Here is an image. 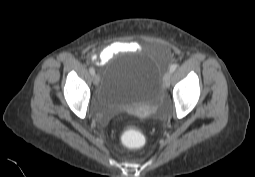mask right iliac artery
Returning <instances> with one entry per match:
<instances>
[{
    "instance_id": "right-iliac-artery-1",
    "label": "right iliac artery",
    "mask_w": 255,
    "mask_h": 177,
    "mask_svg": "<svg viewBox=\"0 0 255 177\" xmlns=\"http://www.w3.org/2000/svg\"><path fill=\"white\" fill-rule=\"evenodd\" d=\"M89 71H90L91 75H94V74H95L94 68L90 67V68H89Z\"/></svg>"
}]
</instances>
